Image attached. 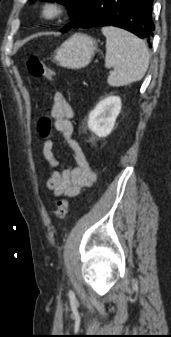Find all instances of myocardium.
<instances>
[{
    "label": "myocardium",
    "mask_w": 171,
    "mask_h": 337,
    "mask_svg": "<svg viewBox=\"0 0 171 337\" xmlns=\"http://www.w3.org/2000/svg\"><path fill=\"white\" fill-rule=\"evenodd\" d=\"M66 12V5L59 0H45L39 8V16L47 22L59 20Z\"/></svg>",
    "instance_id": "f54148a6"
}]
</instances>
